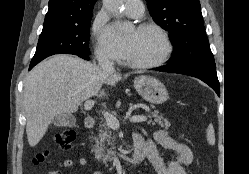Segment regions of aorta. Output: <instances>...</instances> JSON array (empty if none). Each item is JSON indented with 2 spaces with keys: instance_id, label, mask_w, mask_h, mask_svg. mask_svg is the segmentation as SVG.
<instances>
[{
  "instance_id": "aorta-1",
  "label": "aorta",
  "mask_w": 249,
  "mask_h": 174,
  "mask_svg": "<svg viewBox=\"0 0 249 174\" xmlns=\"http://www.w3.org/2000/svg\"><path fill=\"white\" fill-rule=\"evenodd\" d=\"M124 2H125V0H103V4H104L105 8L109 12H111L115 15L119 14V10ZM119 28L121 31H129L132 28V24L130 22H122L119 25Z\"/></svg>"
}]
</instances>
